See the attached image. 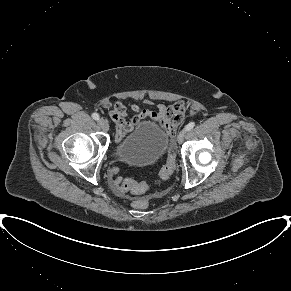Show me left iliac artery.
Returning <instances> with one entry per match:
<instances>
[{"mask_svg": "<svg viewBox=\"0 0 291 291\" xmlns=\"http://www.w3.org/2000/svg\"><path fill=\"white\" fill-rule=\"evenodd\" d=\"M195 126L194 122H190L189 124L186 125L185 130L186 131H190L191 129H193Z\"/></svg>", "mask_w": 291, "mask_h": 291, "instance_id": "1", "label": "left iliac artery"}]
</instances>
